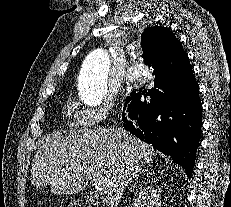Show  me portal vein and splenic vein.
Masks as SVG:
<instances>
[{
  "instance_id": "1",
  "label": "portal vein and splenic vein",
  "mask_w": 231,
  "mask_h": 207,
  "mask_svg": "<svg viewBox=\"0 0 231 207\" xmlns=\"http://www.w3.org/2000/svg\"><path fill=\"white\" fill-rule=\"evenodd\" d=\"M101 181H95L94 182V186H96V187H100L101 186Z\"/></svg>"
}]
</instances>
